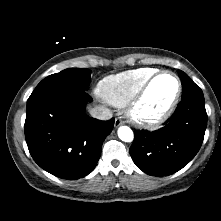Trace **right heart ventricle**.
Wrapping results in <instances>:
<instances>
[{"instance_id":"e07e8e85","label":"right heart ventricle","mask_w":221,"mask_h":221,"mask_svg":"<svg viewBox=\"0 0 221 221\" xmlns=\"http://www.w3.org/2000/svg\"><path fill=\"white\" fill-rule=\"evenodd\" d=\"M156 71L154 68L143 67L107 76L98 83L97 93L105 102L123 107Z\"/></svg>"}]
</instances>
